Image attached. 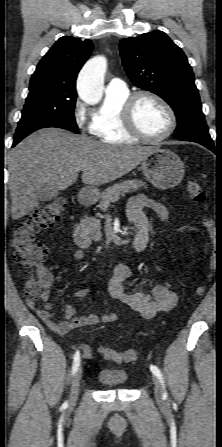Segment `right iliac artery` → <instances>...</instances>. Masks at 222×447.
I'll return each instance as SVG.
<instances>
[{"label": "right iliac artery", "mask_w": 222, "mask_h": 447, "mask_svg": "<svg viewBox=\"0 0 222 447\" xmlns=\"http://www.w3.org/2000/svg\"><path fill=\"white\" fill-rule=\"evenodd\" d=\"M73 359L74 360H73L72 374L74 375L76 373L79 365H80V353H79V351H76ZM63 406L66 407L67 406V402H65L63 404Z\"/></svg>", "instance_id": "right-iliac-artery-1"}]
</instances>
